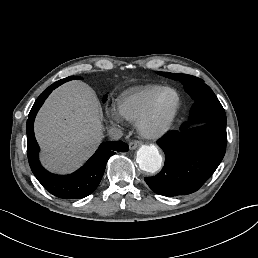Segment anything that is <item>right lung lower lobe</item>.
<instances>
[{
    "mask_svg": "<svg viewBox=\"0 0 258 258\" xmlns=\"http://www.w3.org/2000/svg\"><path fill=\"white\" fill-rule=\"evenodd\" d=\"M70 76L49 86L35 101L27 120V152L32 172L43 187L54 196L62 199H79L90 195L99 185L106 163L115 151L126 152L128 145L122 141L104 142L93 156L76 172L70 175H55L48 172L39 162V146L34 136V119L49 94L61 84L78 79Z\"/></svg>",
    "mask_w": 258,
    "mask_h": 258,
    "instance_id": "obj_1",
    "label": "right lung lower lobe"
}]
</instances>
